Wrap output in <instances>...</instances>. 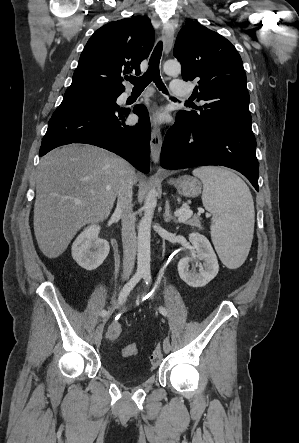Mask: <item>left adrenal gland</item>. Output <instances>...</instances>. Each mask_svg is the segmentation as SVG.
I'll return each mask as SVG.
<instances>
[{
    "instance_id": "a2214340",
    "label": "left adrenal gland",
    "mask_w": 299,
    "mask_h": 443,
    "mask_svg": "<svg viewBox=\"0 0 299 443\" xmlns=\"http://www.w3.org/2000/svg\"><path fill=\"white\" fill-rule=\"evenodd\" d=\"M163 217H164V221L166 223L171 222V221L177 223L176 218L172 215V213L170 211V206H169L168 201H166V203H165V213H164Z\"/></svg>"
}]
</instances>
